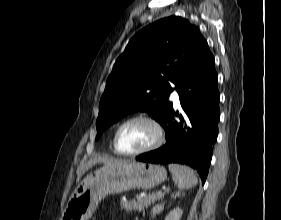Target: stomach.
<instances>
[{"label":"stomach","instance_id":"0dacf381","mask_svg":"<svg viewBox=\"0 0 281 220\" xmlns=\"http://www.w3.org/2000/svg\"><path fill=\"white\" fill-rule=\"evenodd\" d=\"M166 177L164 167L151 163L131 162L116 167H102L79 183L61 220H89L106 195L131 189H152L161 184Z\"/></svg>","mask_w":281,"mask_h":220}]
</instances>
